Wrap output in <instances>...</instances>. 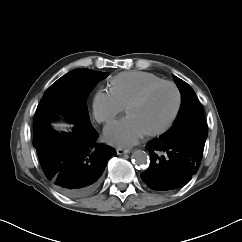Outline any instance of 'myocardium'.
Wrapping results in <instances>:
<instances>
[{
	"label": "myocardium",
	"instance_id": "obj_1",
	"mask_svg": "<svg viewBox=\"0 0 242 242\" xmlns=\"http://www.w3.org/2000/svg\"><path fill=\"white\" fill-rule=\"evenodd\" d=\"M161 85H169L174 89V91L176 93V106H175V109H174L170 119L164 125H162L161 127L157 128V129L145 132V135L148 137L157 136V135H160V134L166 132L175 123V121L179 115L181 105H182V95H181L179 87L174 82L169 81V80L158 81V82L153 83V84L147 86L146 88H144L139 94H137L134 98H132L129 101V103L126 105V112L128 113V111L131 107L144 101L147 98V96L154 89H156L157 87H159Z\"/></svg>",
	"mask_w": 242,
	"mask_h": 242
}]
</instances>
